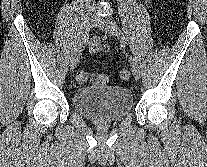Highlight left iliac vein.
<instances>
[{
  "label": "left iliac vein",
  "mask_w": 207,
  "mask_h": 167,
  "mask_svg": "<svg viewBox=\"0 0 207 167\" xmlns=\"http://www.w3.org/2000/svg\"><path fill=\"white\" fill-rule=\"evenodd\" d=\"M94 23L97 27L104 30L106 33L110 34L111 36L116 35V31L110 20L105 19L103 17H94ZM130 66H131V71L133 73V76L135 77L136 80H139L140 79V68L138 66L136 59L133 57H130Z\"/></svg>",
  "instance_id": "left-iliac-vein-1"
}]
</instances>
